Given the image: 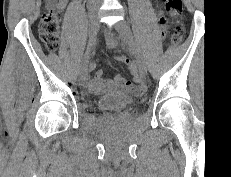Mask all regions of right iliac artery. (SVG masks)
Here are the masks:
<instances>
[{"label":"right iliac artery","mask_w":231,"mask_h":177,"mask_svg":"<svg viewBox=\"0 0 231 177\" xmlns=\"http://www.w3.org/2000/svg\"><path fill=\"white\" fill-rule=\"evenodd\" d=\"M96 41V32L90 36V39H89V43H88V46H87V49H86V52H85V57H88L90 51L92 50L93 48V45Z\"/></svg>","instance_id":"1"}]
</instances>
